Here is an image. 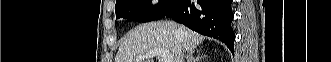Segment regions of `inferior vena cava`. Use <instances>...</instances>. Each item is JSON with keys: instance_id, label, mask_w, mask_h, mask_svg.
<instances>
[{"instance_id": "602c4592", "label": "inferior vena cava", "mask_w": 331, "mask_h": 62, "mask_svg": "<svg viewBox=\"0 0 331 62\" xmlns=\"http://www.w3.org/2000/svg\"><path fill=\"white\" fill-rule=\"evenodd\" d=\"M183 61H184V55L182 54L181 58H180V62H183Z\"/></svg>"}]
</instances>
